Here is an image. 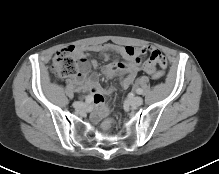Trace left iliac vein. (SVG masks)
Returning <instances> with one entry per match:
<instances>
[{
    "label": "left iliac vein",
    "instance_id": "left-iliac-vein-1",
    "mask_svg": "<svg viewBox=\"0 0 219 174\" xmlns=\"http://www.w3.org/2000/svg\"><path fill=\"white\" fill-rule=\"evenodd\" d=\"M129 104L133 107H138L143 104V99L140 96L130 98Z\"/></svg>",
    "mask_w": 219,
    "mask_h": 174
}]
</instances>
